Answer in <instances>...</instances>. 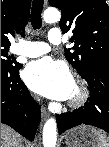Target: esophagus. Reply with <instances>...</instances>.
Wrapping results in <instances>:
<instances>
[{"label":"esophagus","mask_w":109,"mask_h":147,"mask_svg":"<svg viewBox=\"0 0 109 147\" xmlns=\"http://www.w3.org/2000/svg\"><path fill=\"white\" fill-rule=\"evenodd\" d=\"M41 116H42L43 120H46L49 116L48 111L46 110L45 107L41 108Z\"/></svg>","instance_id":"1"}]
</instances>
